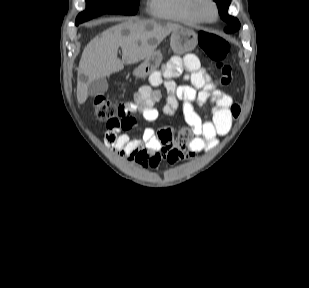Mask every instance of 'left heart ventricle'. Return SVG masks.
Instances as JSON below:
<instances>
[{"label":"left heart ventricle","mask_w":309,"mask_h":288,"mask_svg":"<svg viewBox=\"0 0 309 288\" xmlns=\"http://www.w3.org/2000/svg\"><path fill=\"white\" fill-rule=\"evenodd\" d=\"M203 12L206 17L213 18L215 15L214 9L210 4H204L203 5Z\"/></svg>","instance_id":"obj_1"}]
</instances>
